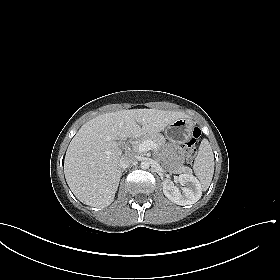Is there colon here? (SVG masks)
Segmentation results:
<instances>
[{"label":"colon","mask_w":280,"mask_h":280,"mask_svg":"<svg viewBox=\"0 0 280 280\" xmlns=\"http://www.w3.org/2000/svg\"><path fill=\"white\" fill-rule=\"evenodd\" d=\"M200 130L195 128L191 134V137L185 142L184 151L187 161H192L196 155V143L200 137Z\"/></svg>","instance_id":"obj_1"}]
</instances>
